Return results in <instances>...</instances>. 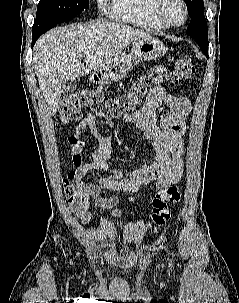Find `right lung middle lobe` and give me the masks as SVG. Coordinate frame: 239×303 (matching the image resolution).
<instances>
[{
	"label": "right lung middle lobe",
	"mask_w": 239,
	"mask_h": 303,
	"mask_svg": "<svg viewBox=\"0 0 239 303\" xmlns=\"http://www.w3.org/2000/svg\"><path fill=\"white\" fill-rule=\"evenodd\" d=\"M89 7V0H40L32 31H47Z\"/></svg>",
	"instance_id": "1"
}]
</instances>
